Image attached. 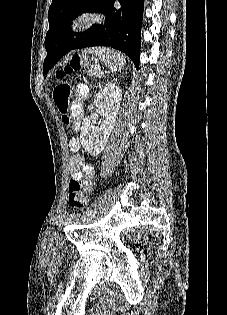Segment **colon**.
<instances>
[{
  "mask_svg": "<svg viewBox=\"0 0 227 315\" xmlns=\"http://www.w3.org/2000/svg\"><path fill=\"white\" fill-rule=\"evenodd\" d=\"M84 66V60L74 58L69 64L55 74L53 100L61 114L62 122L70 125L78 117V113L70 104L71 85L67 78L76 75ZM68 201L72 208L83 209L89 202V195L78 179H72L68 187Z\"/></svg>",
  "mask_w": 227,
  "mask_h": 315,
  "instance_id": "5ec220e1",
  "label": "colon"
}]
</instances>
